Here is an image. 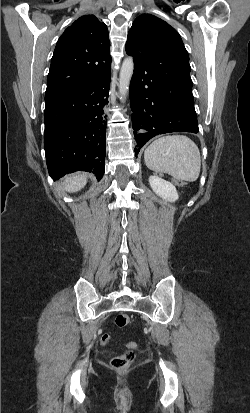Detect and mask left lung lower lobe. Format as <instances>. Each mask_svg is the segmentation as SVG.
<instances>
[{
    "instance_id": "left-lung-lower-lobe-1",
    "label": "left lung lower lobe",
    "mask_w": 250,
    "mask_h": 413,
    "mask_svg": "<svg viewBox=\"0 0 250 413\" xmlns=\"http://www.w3.org/2000/svg\"><path fill=\"white\" fill-rule=\"evenodd\" d=\"M126 52L134 57L135 64L130 82L135 152L138 154L148 140L159 134L199 132L192 80L154 74L147 66L144 48Z\"/></svg>"
}]
</instances>
